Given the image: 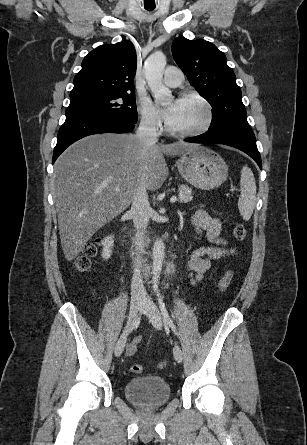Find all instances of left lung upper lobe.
<instances>
[{"label": "left lung upper lobe", "instance_id": "obj_1", "mask_svg": "<svg viewBox=\"0 0 307 445\" xmlns=\"http://www.w3.org/2000/svg\"><path fill=\"white\" fill-rule=\"evenodd\" d=\"M172 53L190 84L213 108L209 131L226 127L251 129L240 87L223 52L203 39L178 37L173 41Z\"/></svg>", "mask_w": 307, "mask_h": 445}]
</instances>
